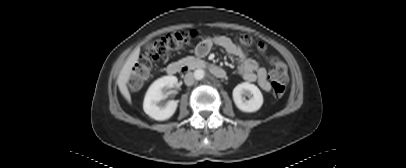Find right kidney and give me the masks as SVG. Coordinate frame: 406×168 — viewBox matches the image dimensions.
Masks as SVG:
<instances>
[{
  "instance_id": "1",
  "label": "right kidney",
  "mask_w": 406,
  "mask_h": 168,
  "mask_svg": "<svg viewBox=\"0 0 406 168\" xmlns=\"http://www.w3.org/2000/svg\"><path fill=\"white\" fill-rule=\"evenodd\" d=\"M178 82L175 76H164L157 79L149 87L143 103L144 112L152 119L164 121L172 117L175 113L178 101L171 100L166 106H160L159 102L164 98L162 89L164 87L173 88Z\"/></svg>"
}]
</instances>
